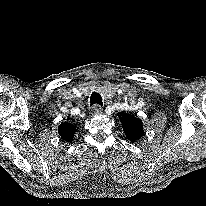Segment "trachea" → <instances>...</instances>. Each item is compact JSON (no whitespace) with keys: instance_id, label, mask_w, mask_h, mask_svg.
Instances as JSON below:
<instances>
[{"instance_id":"1","label":"trachea","mask_w":206,"mask_h":206,"mask_svg":"<svg viewBox=\"0 0 206 206\" xmlns=\"http://www.w3.org/2000/svg\"><path fill=\"white\" fill-rule=\"evenodd\" d=\"M90 104H91V106H93V105L102 106V97H101V95L97 92H93L91 94V97H90Z\"/></svg>"}]
</instances>
